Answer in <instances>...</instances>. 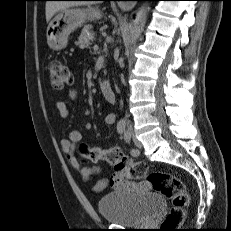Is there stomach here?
<instances>
[{
    "instance_id": "stomach-1",
    "label": "stomach",
    "mask_w": 231,
    "mask_h": 231,
    "mask_svg": "<svg viewBox=\"0 0 231 231\" xmlns=\"http://www.w3.org/2000/svg\"><path fill=\"white\" fill-rule=\"evenodd\" d=\"M101 17L100 9L91 5L86 8L69 7L60 10L47 27L48 46L53 50L65 48L71 32L87 21H93Z\"/></svg>"
}]
</instances>
